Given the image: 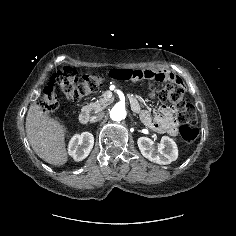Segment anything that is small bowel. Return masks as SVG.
Instances as JSON below:
<instances>
[{
  "instance_id": "small-bowel-1",
  "label": "small bowel",
  "mask_w": 236,
  "mask_h": 236,
  "mask_svg": "<svg viewBox=\"0 0 236 236\" xmlns=\"http://www.w3.org/2000/svg\"><path fill=\"white\" fill-rule=\"evenodd\" d=\"M108 77L113 81L121 83H135L144 79H151L159 82L166 80L172 81L178 85L182 84V80L168 70L161 68L135 69V68H116L112 67L107 72ZM142 122L148 127L169 135L177 134L178 123L174 118V111L169 107H162L160 112L154 117L146 110H139Z\"/></svg>"
}]
</instances>
